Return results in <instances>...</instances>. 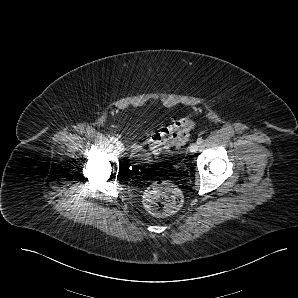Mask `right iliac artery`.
Instances as JSON below:
<instances>
[{
    "label": "right iliac artery",
    "mask_w": 298,
    "mask_h": 298,
    "mask_svg": "<svg viewBox=\"0 0 298 298\" xmlns=\"http://www.w3.org/2000/svg\"><path fill=\"white\" fill-rule=\"evenodd\" d=\"M111 142H113V143H116V141H117V138H115V137H111Z\"/></svg>",
    "instance_id": "obj_1"
}]
</instances>
